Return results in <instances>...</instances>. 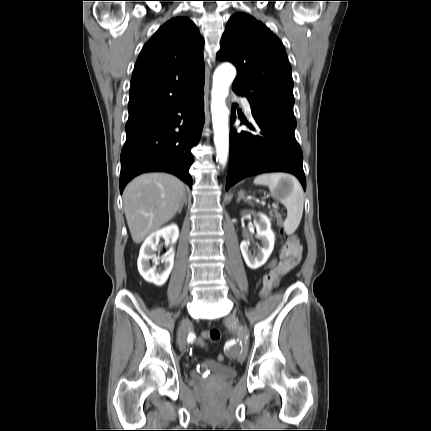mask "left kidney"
Masks as SVG:
<instances>
[{
	"instance_id": "left-kidney-1",
	"label": "left kidney",
	"mask_w": 431,
	"mask_h": 431,
	"mask_svg": "<svg viewBox=\"0 0 431 431\" xmlns=\"http://www.w3.org/2000/svg\"><path fill=\"white\" fill-rule=\"evenodd\" d=\"M254 225L257 231V237L262 242L256 255L249 251V243L242 241L240 249L247 266L253 270L263 266L270 257L275 243V235L271 229L269 218L263 213L254 214Z\"/></svg>"
}]
</instances>
